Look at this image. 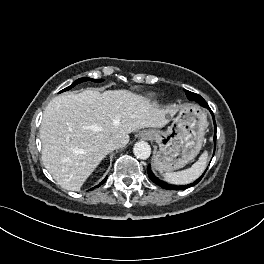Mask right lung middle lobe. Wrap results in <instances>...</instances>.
<instances>
[{
	"instance_id": "1",
	"label": "right lung middle lobe",
	"mask_w": 264,
	"mask_h": 264,
	"mask_svg": "<svg viewBox=\"0 0 264 264\" xmlns=\"http://www.w3.org/2000/svg\"><path fill=\"white\" fill-rule=\"evenodd\" d=\"M88 80H91V81H93V82H102V81H103V79H91V78H87V77L80 78V79L74 81V82L72 83V85H70L69 87L63 89V90L60 91V92H63V91L69 90V89H71L72 87H74L75 85H77V84H79V83H81V82H83V81H88Z\"/></svg>"
}]
</instances>
